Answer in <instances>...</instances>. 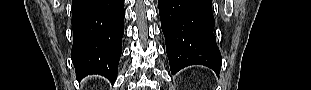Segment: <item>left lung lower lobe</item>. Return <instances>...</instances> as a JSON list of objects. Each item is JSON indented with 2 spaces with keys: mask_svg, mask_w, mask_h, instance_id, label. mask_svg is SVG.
Segmentation results:
<instances>
[{
  "mask_svg": "<svg viewBox=\"0 0 311 90\" xmlns=\"http://www.w3.org/2000/svg\"><path fill=\"white\" fill-rule=\"evenodd\" d=\"M172 74L189 65L220 72L222 57L213 34L212 0H158Z\"/></svg>",
  "mask_w": 311,
  "mask_h": 90,
  "instance_id": "1",
  "label": "left lung lower lobe"
}]
</instances>
